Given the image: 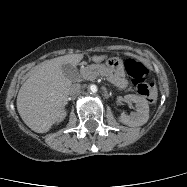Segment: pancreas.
I'll return each instance as SVG.
<instances>
[{
  "label": "pancreas",
  "instance_id": "1",
  "mask_svg": "<svg viewBox=\"0 0 187 187\" xmlns=\"http://www.w3.org/2000/svg\"><path fill=\"white\" fill-rule=\"evenodd\" d=\"M99 75L104 76L107 78V80L115 83V80L110 74L109 70L103 65H91V66L85 67L84 69L80 71V74H79L80 79L91 80V81L95 80L97 76Z\"/></svg>",
  "mask_w": 187,
  "mask_h": 187
}]
</instances>
